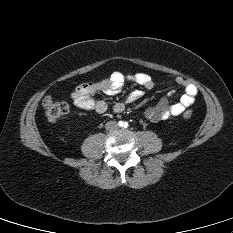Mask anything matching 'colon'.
I'll return each instance as SVG.
<instances>
[{"mask_svg": "<svg viewBox=\"0 0 233 233\" xmlns=\"http://www.w3.org/2000/svg\"><path fill=\"white\" fill-rule=\"evenodd\" d=\"M43 108L46 117L52 122L59 120L69 111V105L67 102L53 97H46L43 100ZM192 115L193 112L191 110H187L183 113V117L186 119L191 118Z\"/></svg>", "mask_w": 233, "mask_h": 233, "instance_id": "5ec220e1", "label": "colon"}]
</instances>
